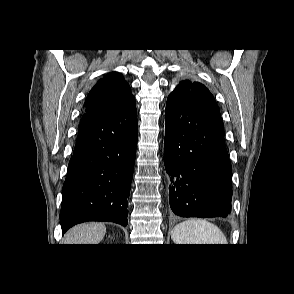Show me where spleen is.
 <instances>
[{"label":"spleen","instance_id":"3e777b00","mask_svg":"<svg viewBox=\"0 0 294 294\" xmlns=\"http://www.w3.org/2000/svg\"><path fill=\"white\" fill-rule=\"evenodd\" d=\"M171 238L175 244H227L223 232L204 219H188L177 224Z\"/></svg>","mask_w":294,"mask_h":294}]
</instances>
